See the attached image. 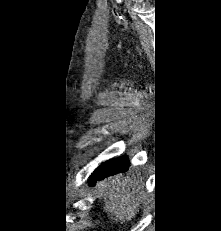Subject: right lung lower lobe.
<instances>
[{
  "instance_id": "1",
  "label": "right lung lower lobe",
  "mask_w": 221,
  "mask_h": 231,
  "mask_svg": "<svg viewBox=\"0 0 221 231\" xmlns=\"http://www.w3.org/2000/svg\"><path fill=\"white\" fill-rule=\"evenodd\" d=\"M130 162L126 156L108 160L102 163L91 175L89 185H95L97 180H103L105 177L124 173L128 170Z\"/></svg>"
}]
</instances>
